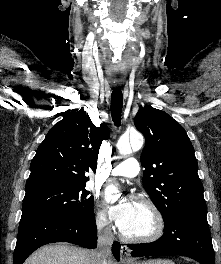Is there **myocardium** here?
<instances>
[{"label": "myocardium", "mask_w": 221, "mask_h": 264, "mask_svg": "<svg viewBox=\"0 0 221 264\" xmlns=\"http://www.w3.org/2000/svg\"><path fill=\"white\" fill-rule=\"evenodd\" d=\"M137 203L145 206L154 219V228L153 231L144 236H130L120 229L121 238L127 242L131 243H151L158 240L164 233L165 229V220L162 212L158 206L150 199L141 197L138 199Z\"/></svg>", "instance_id": "myocardium-1"}]
</instances>
